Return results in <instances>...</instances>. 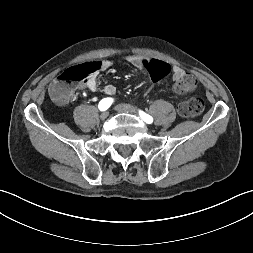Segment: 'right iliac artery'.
Masks as SVG:
<instances>
[{
  "mask_svg": "<svg viewBox=\"0 0 253 253\" xmlns=\"http://www.w3.org/2000/svg\"><path fill=\"white\" fill-rule=\"evenodd\" d=\"M113 102V99L112 98H104L102 99L100 102H99V105H98V108L101 110V111H105L107 110L111 104Z\"/></svg>",
  "mask_w": 253,
  "mask_h": 253,
  "instance_id": "82829eb1",
  "label": "right iliac artery"
}]
</instances>
